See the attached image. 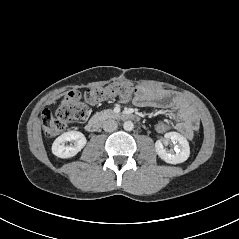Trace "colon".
Masks as SVG:
<instances>
[{
    "instance_id": "1",
    "label": "colon",
    "mask_w": 239,
    "mask_h": 239,
    "mask_svg": "<svg viewBox=\"0 0 239 239\" xmlns=\"http://www.w3.org/2000/svg\"><path fill=\"white\" fill-rule=\"evenodd\" d=\"M139 91L135 85L122 82L90 88L83 95L77 91L70 92L63 99L55 117L49 109L41 113L44 131L48 137H55L65 131L69 124L84 119L89 112L88 105L108 101L116 96L127 97ZM153 128L158 135L165 136L172 131L173 124L169 120L159 119L155 121Z\"/></svg>"
}]
</instances>
